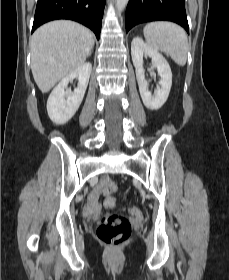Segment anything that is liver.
Masks as SVG:
<instances>
[{
  "instance_id": "6515ba94",
  "label": "liver",
  "mask_w": 229,
  "mask_h": 280,
  "mask_svg": "<svg viewBox=\"0 0 229 280\" xmlns=\"http://www.w3.org/2000/svg\"><path fill=\"white\" fill-rule=\"evenodd\" d=\"M94 46L92 32L73 21H52L30 39L31 70L42 93L81 67Z\"/></svg>"
}]
</instances>
